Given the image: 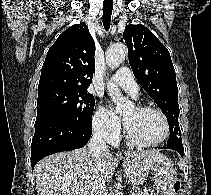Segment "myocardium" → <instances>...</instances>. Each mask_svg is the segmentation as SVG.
<instances>
[{"instance_id":"1","label":"myocardium","mask_w":211,"mask_h":195,"mask_svg":"<svg viewBox=\"0 0 211 195\" xmlns=\"http://www.w3.org/2000/svg\"><path fill=\"white\" fill-rule=\"evenodd\" d=\"M136 108L140 111H153V112L159 114L164 122L165 132H164L163 137L158 141L142 142L132 134L126 121L123 120L124 134H125V137L127 138V140L131 144L138 146V147H154V146H158L161 143H163L168 138L169 133H170V124H169L168 118L165 115V113L162 110H160L159 108L150 106V105H137Z\"/></svg>"}]
</instances>
